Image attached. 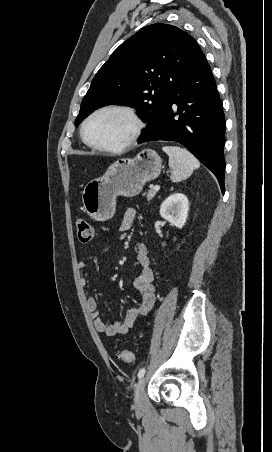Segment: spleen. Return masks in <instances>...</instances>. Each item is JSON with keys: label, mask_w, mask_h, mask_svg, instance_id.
Masks as SVG:
<instances>
[{"label": "spleen", "mask_w": 272, "mask_h": 452, "mask_svg": "<svg viewBox=\"0 0 272 452\" xmlns=\"http://www.w3.org/2000/svg\"><path fill=\"white\" fill-rule=\"evenodd\" d=\"M162 150L169 156V166L172 169L170 179L172 182H181L187 179L200 163L188 150L178 146H164Z\"/></svg>", "instance_id": "spleen-1"}]
</instances>
